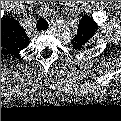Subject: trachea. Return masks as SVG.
<instances>
[{
  "label": "trachea",
  "mask_w": 121,
  "mask_h": 121,
  "mask_svg": "<svg viewBox=\"0 0 121 121\" xmlns=\"http://www.w3.org/2000/svg\"><path fill=\"white\" fill-rule=\"evenodd\" d=\"M48 22L45 19H39L36 24L37 30H47L48 29Z\"/></svg>",
  "instance_id": "trachea-1"
}]
</instances>
